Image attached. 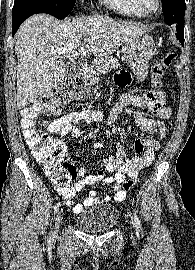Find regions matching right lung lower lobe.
Segmentation results:
<instances>
[{
  "mask_svg": "<svg viewBox=\"0 0 195 270\" xmlns=\"http://www.w3.org/2000/svg\"><path fill=\"white\" fill-rule=\"evenodd\" d=\"M37 13H45L39 7H35L32 5L24 4V5H16L14 4L13 13H12V36L17 32L19 26L25 21L28 17Z\"/></svg>",
  "mask_w": 195,
  "mask_h": 270,
  "instance_id": "98d812e1",
  "label": "right lung lower lobe"
}]
</instances>
